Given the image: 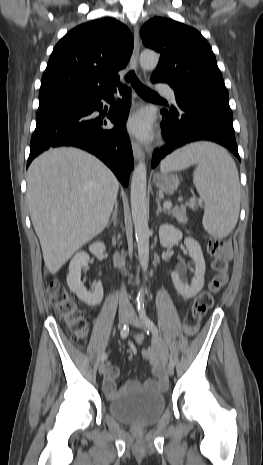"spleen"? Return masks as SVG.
Returning a JSON list of instances; mask_svg holds the SVG:
<instances>
[{
	"label": "spleen",
	"instance_id": "1",
	"mask_svg": "<svg viewBox=\"0 0 263 465\" xmlns=\"http://www.w3.org/2000/svg\"><path fill=\"white\" fill-rule=\"evenodd\" d=\"M196 165L193 183L205 202L204 229L224 238L234 229L240 211V183L234 160L213 143L198 142L172 153L161 162V173Z\"/></svg>",
	"mask_w": 263,
	"mask_h": 465
}]
</instances>
